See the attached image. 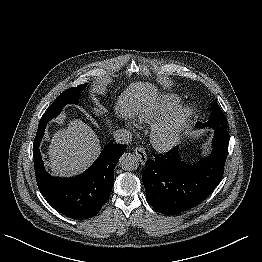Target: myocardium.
Here are the masks:
<instances>
[{"label": "myocardium", "instance_id": "myocardium-1", "mask_svg": "<svg viewBox=\"0 0 262 262\" xmlns=\"http://www.w3.org/2000/svg\"><path fill=\"white\" fill-rule=\"evenodd\" d=\"M193 115V107L182 105L159 120L152 128L150 138L153 146L167 152L176 147Z\"/></svg>", "mask_w": 262, "mask_h": 262}]
</instances>
